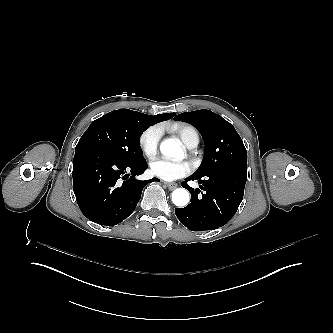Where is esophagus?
Instances as JSON below:
<instances>
[{"mask_svg":"<svg viewBox=\"0 0 333 333\" xmlns=\"http://www.w3.org/2000/svg\"><path fill=\"white\" fill-rule=\"evenodd\" d=\"M169 190H174L177 187L176 183H166Z\"/></svg>","mask_w":333,"mask_h":333,"instance_id":"34e87169","label":"esophagus"}]
</instances>
